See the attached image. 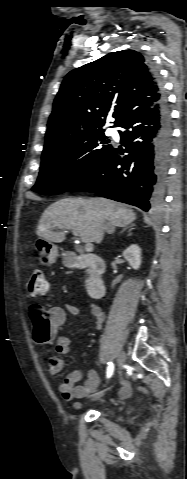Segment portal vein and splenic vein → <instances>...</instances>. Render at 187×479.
Masks as SVG:
<instances>
[{"mask_svg": "<svg viewBox=\"0 0 187 479\" xmlns=\"http://www.w3.org/2000/svg\"><path fill=\"white\" fill-rule=\"evenodd\" d=\"M74 235L77 236V234L73 231ZM85 250L87 252H91L93 250V244L91 242H87L85 245Z\"/></svg>", "mask_w": 187, "mask_h": 479, "instance_id": "portal-vein-and-splenic-vein-1", "label": "portal vein and splenic vein"}]
</instances>
